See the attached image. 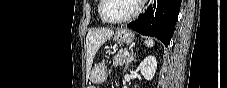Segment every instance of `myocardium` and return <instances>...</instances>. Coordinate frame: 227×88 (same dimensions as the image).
I'll use <instances>...</instances> for the list:
<instances>
[{
	"label": "myocardium",
	"mask_w": 227,
	"mask_h": 88,
	"mask_svg": "<svg viewBox=\"0 0 227 88\" xmlns=\"http://www.w3.org/2000/svg\"><path fill=\"white\" fill-rule=\"evenodd\" d=\"M142 2L143 1H141V0H137V6H136L135 10L130 15H128L124 18H121V19L111 20V19L106 18L104 13H103V9L105 7L106 0H101L100 1V7H99V14H100L101 19L106 23H109V24H124V23L131 21L133 18H135L139 14V12L141 11V8H142Z\"/></svg>",
	"instance_id": "obj_1"
}]
</instances>
